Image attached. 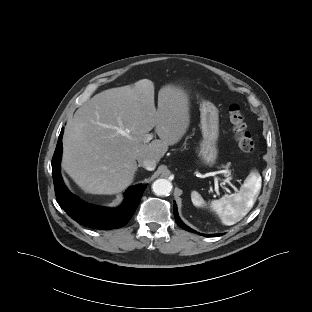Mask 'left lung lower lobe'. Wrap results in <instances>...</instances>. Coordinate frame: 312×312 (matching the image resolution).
<instances>
[{
	"instance_id": "left-lung-lower-lobe-1",
	"label": "left lung lower lobe",
	"mask_w": 312,
	"mask_h": 312,
	"mask_svg": "<svg viewBox=\"0 0 312 312\" xmlns=\"http://www.w3.org/2000/svg\"><path fill=\"white\" fill-rule=\"evenodd\" d=\"M174 216H175V220H176L177 224H178L181 228H183V229H185V230H187V231H190V232H194L193 229H191V228H189L188 226H186V225L181 221V219L179 218L178 213H177V206H176V204H174ZM200 235L207 236V237H208V236H210V237L220 236V234H211V235L200 234Z\"/></svg>"
}]
</instances>
